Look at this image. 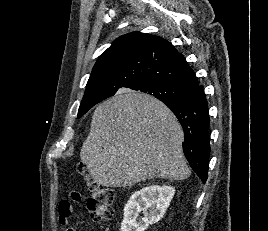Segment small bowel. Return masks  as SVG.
Here are the masks:
<instances>
[{"label": "small bowel", "instance_id": "small-bowel-1", "mask_svg": "<svg viewBox=\"0 0 268 231\" xmlns=\"http://www.w3.org/2000/svg\"><path fill=\"white\" fill-rule=\"evenodd\" d=\"M73 213V207L71 202L64 198L60 201L58 206V224L66 227L67 231H79V229L70 223V219Z\"/></svg>", "mask_w": 268, "mask_h": 231}]
</instances>
